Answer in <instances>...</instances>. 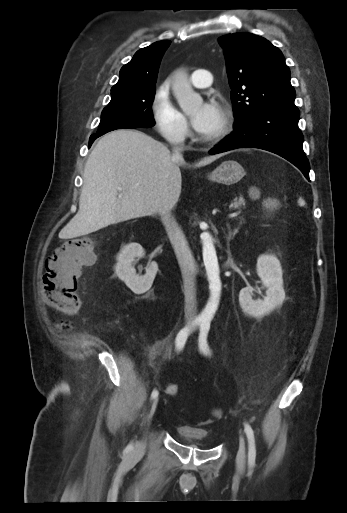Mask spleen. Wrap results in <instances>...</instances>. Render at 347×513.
Returning a JSON list of instances; mask_svg holds the SVG:
<instances>
[{"instance_id":"spleen-1","label":"spleen","mask_w":347,"mask_h":513,"mask_svg":"<svg viewBox=\"0 0 347 513\" xmlns=\"http://www.w3.org/2000/svg\"><path fill=\"white\" fill-rule=\"evenodd\" d=\"M298 204H299L300 206H304V205H305V201H304L302 198H300V199L298 200Z\"/></svg>"}]
</instances>
